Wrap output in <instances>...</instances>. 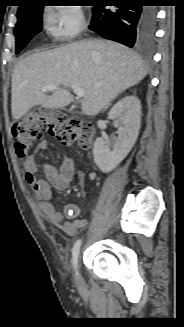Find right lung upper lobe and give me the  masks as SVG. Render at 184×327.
<instances>
[{
  "mask_svg": "<svg viewBox=\"0 0 184 327\" xmlns=\"http://www.w3.org/2000/svg\"><path fill=\"white\" fill-rule=\"evenodd\" d=\"M39 2L40 0H20L21 5L19 6L18 11L37 5Z\"/></svg>",
  "mask_w": 184,
  "mask_h": 327,
  "instance_id": "1",
  "label": "right lung upper lobe"
}]
</instances>
